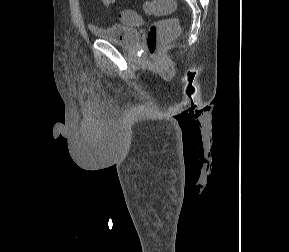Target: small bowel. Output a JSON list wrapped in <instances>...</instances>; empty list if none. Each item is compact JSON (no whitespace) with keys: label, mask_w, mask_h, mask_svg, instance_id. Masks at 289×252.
Wrapping results in <instances>:
<instances>
[{"label":"small bowel","mask_w":289,"mask_h":252,"mask_svg":"<svg viewBox=\"0 0 289 252\" xmlns=\"http://www.w3.org/2000/svg\"><path fill=\"white\" fill-rule=\"evenodd\" d=\"M101 1L107 7L113 5L116 2V0H101Z\"/></svg>","instance_id":"small-bowel-1"}]
</instances>
